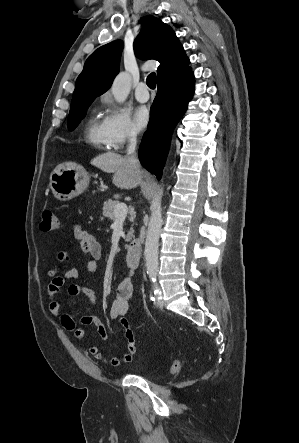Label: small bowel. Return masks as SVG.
<instances>
[{
	"label": "small bowel",
	"instance_id": "c3829d8e",
	"mask_svg": "<svg viewBox=\"0 0 299 443\" xmlns=\"http://www.w3.org/2000/svg\"><path fill=\"white\" fill-rule=\"evenodd\" d=\"M65 245H78L83 254L90 256V259L86 265L87 270L92 273L97 271V261L102 256V246L94 235L84 230L80 225H75L70 237L65 242ZM56 259L60 263L64 262L68 259L67 252L62 249L59 250L57 252ZM134 270L135 268L130 266V271L128 274L119 282L116 288L115 299L113 300L109 310L111 319L119 322L125 329V336L128 341L127 350L120 356L109 358L103 352H101L99 347L95 344L90 345L88 348L89 353L95 359L100 362L108 363L114 367H118L123 363L131 362L136 353L135 341L129 335L130 325L127 319L130 301L134 291ZM48 276L51 278L47 289L49 297V311L53 316L59 319L62 327L67 331L73 332L76 340L83 341L86 337L83 327L94 325L96 327L98 336L103 341H107L109 339V333L105 325L97 316L88 313L82 316L79 321L76 322L70 314L62 313L61 304L56 299L57 294L67 281L77 280L82 277L81 271L77 268H71L61 274L59 267L57 265H53L48 269ZM67 293L72 297L84 295L92 305H94L97 300L96 293L92 288L80 284L69 285Z\"/></svg>",
	"mask_w": 299,
	"mask_h": 443
}]
</instances>
